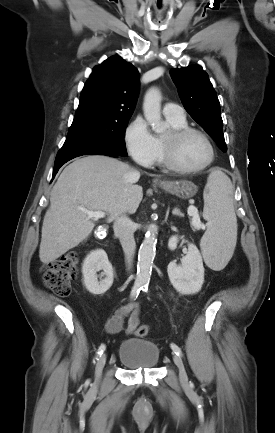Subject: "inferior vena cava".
I'll list each match as a JSON object with an SVG mask.
<instances>
[{
  "label": "inferior vena cava",
  "instance_id": "obj_1",
  "mask_svg": "<svg viewBox=\"0 0 275 433\" xmlns=\"http://www.w3.org/2000/svg\"><path fill=\"white\" fill-rule=\"evenodd\" d=\"M134 177L138 179L139 173H134ZM113 229L115 236H117L120 240L125 254L126 265L128 269H130L133 264V258L136 249L134 240V223L126 215H121L115 219Z\"/></svg>",
  "mask_w": 275,
  "mask_h": 433
}]
</instances>
